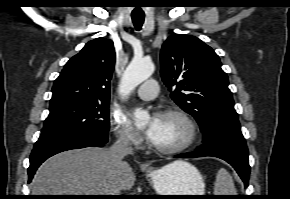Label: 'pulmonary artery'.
<instances>
[{
  "mask_svg": "<svg viewBox=\"0 0 290 199\" xmlns=\"http://www.w3.org/2000/svg\"><path fill=\"white\" fill-rule=\"evenodd\" d=\"M158 88L157 81L148 80L139 86V88L136 90V95L142 100L150 101L156 97Z\"/></svg>",
  "mask_w": 290,
  "mask_h": 199,
  "instance_id": "pulmonary-artery-1",
  "label": "pulmonary artery"
}]
</instances>
